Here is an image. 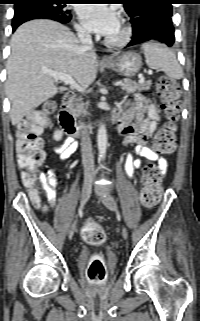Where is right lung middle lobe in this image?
Returning a JSON list of instances; mask_svg holds the SVG:
<instances>
[{
    "instance_id": "right-lung-middle-lobe-1",
    "label": "right lung middle lobe",
    "mask_w": 200,
    "mask_h": 321,
    "mask_svg": "<svg viewBox=\"0 0 200 321\" xmlns=\"http://www.w3.org/2000/svg\"><path fill=\"white\" fill-rule=\"evenodd\" d=\"M69 0H26L15 5V10L24 7H42L50 9L57 14L70 15V10L66 9Z\"/></svg>"
}]
</instances>
